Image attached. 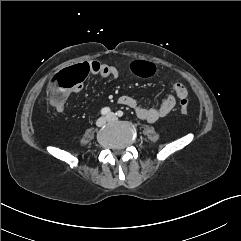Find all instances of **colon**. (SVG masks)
Here are the masks:
<instances>
[{"label": "colon", "mask_w": 241, "mask_h": 241, "mask_svg": "<svg viewBox=\"0 0 241 241\" xmlns=\"http://www.w3.org/2000/svg\"><path fill=\"white\" fill-rule=\"evenodd\" d=\"M132 71L138 76H151L155 68L151 63L136 61L131 65ZM91 74V66L85 60H79L74 65L64 68L56 73L48 84V100L50 103H61L65 100V94L81 84ZM180 112L187 114L189 111L187 91L180 89L179 92Z\"/></svg>", "instance_id": "obj_1"}]
</instances>
